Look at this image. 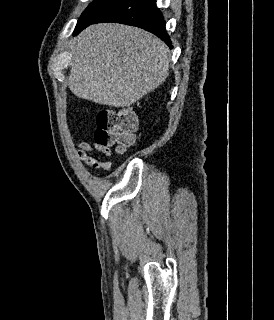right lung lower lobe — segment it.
<instances>
[{
    "mask_svg": "<svg viewBox=\"0 0 274 320\" xmlns=\"http://www.w3.org/2000/svg\"><path fill=\"white\" fill-rule=\"evenodd\" d=\"M100 22H115L140 27L155 34L172 48L169 36L165 30L163 15L157 9L154 0H123L91 24ZM91 24L75 30L74 35Z\"/></svg>",
    "mask_w": 274,
    "mask_h": 320,
    "instance_id": "1",
    "label": "right lung lower lobe"
}]
</instances>
